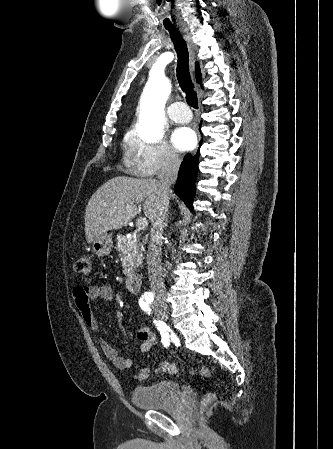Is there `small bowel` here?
Segmentation results:
<instances>
[{
    "instance_id": "c3829d8e",
    "label": "small bowel",
    "mask_w": 333,
    "mask_h": 449,
    "mask_svg": "<svg viewBox=\"0 0 333 449\" xmlns=\"http://www.w3.org/2000/svg\"><path fill=\"white\" fill-rule=\"evenodd\" d=\"M72 296L74 304L85 325L94 331H98V324L92 312L90 303L92 300L111 301L113 298L111 286L106 283L91 286L77 285L72 290ZM136 338L139 343V349L143 353L149 352L156 341L152 331L144 326L137 330ZM100 347L105 356L116 368L126 369L132 366V359L120 356L116 347L109 342L101 339Z\"/></svg>"
}]
</instances>
